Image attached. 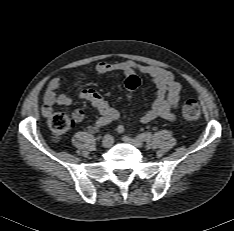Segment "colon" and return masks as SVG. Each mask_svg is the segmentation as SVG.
Returning a JSON list of instances; mask_svg holds the SVG:
<instances>
[{"label":"colon","mask_w":234,"mask_h":231,"mask_svg":"<svg viewBox=\"0 0 234 231\" xmlns=\"http://www.w3.org/2000/svg\"><path fill=\"white\" fill-rule=\"evenodd\" d=\"M140 85V79L137 75L131 74L125 81V87L129 93L134 92ZM182 114L185 119L194 121L200 117L201 110L199 103L192 98L184 99L182 102ZM47 123L51 131L56 136H61L72 127V120L64 112L51 113L48 116Z\"/></svg>","instance_id":"obj_1"}]
</instances>
